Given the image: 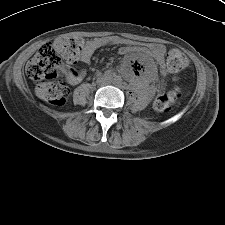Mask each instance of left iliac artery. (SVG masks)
<instances>
[{
    "label": "left iliac artery",
    "mask_w": 225,
    "mask_h": 225,
    "mask_svg": "<svg viewBox=\"0 0 225 225\" xmlns=\"http://www.w3.org/2000/svg\"><path fill=\"white\" fill-rule=\"evenodd\" d=\"M115 79L118 81V82H122V79L120 76H115Z\"/></svg>",
    "instance_id": "44dca946"
}]
</instances>
